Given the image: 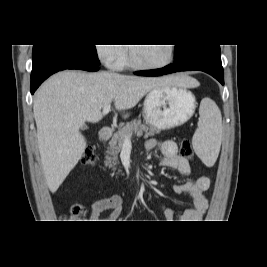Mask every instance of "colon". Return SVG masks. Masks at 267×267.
<instances>
[{
  "instance_id": "1",
  "label": "colon",
  "mask_w": 267,
  "mask_h": 267,
  "mask_svg": "<svg viewBox=\"0 0 267 267\" xmlns=\"http://www.w3.org/2000/svg\"><path fill=\"white\" fill-rule=\"evenodd\" d=\"M180 155L184 158H191L193 156V151L191 147V143L189 140H183L180 144ZM97 157L95 152L91 148H86L82 155V162L85 165H94L96 163ZM84 208L80 204H75L71 208V218L75 221L69 222H82L78 221L80 219V215L82 214Z\"/></svg>"
}]
</instances>
